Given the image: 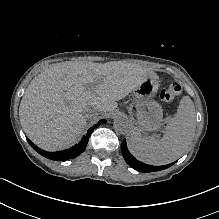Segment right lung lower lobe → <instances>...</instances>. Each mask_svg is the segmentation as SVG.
Instances as JSON below:
<instances>
[{"label":"right lung lower lobe","mask_w":219,"mask_h":219,"mask_svg":"<svg viewBox=\"0 0 219 219\" xmlns=\"http://www.w3.org/2000/svg\"><path fill=\"white\" fill-rule=\"evenodd\" d=\"M105 122H106V120H100L96 125H94L93 127H91L88 130V133L86 134V136H84L77 145H75L69 149L63 150V151L46 152V151L38 148L36 145H34L28 138H27V140H28L29 144L33 147V149H35L42 156H44L48 159H51V160L65 161V160H68L71 158H75L79 154H81L87 146L88 139H89L91 133L93 132V129L98 127L100 124H104Z\"/></svg>","instance_id":"98d812e1"}]
</instances>
